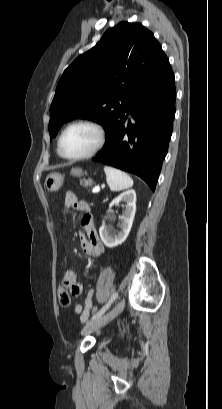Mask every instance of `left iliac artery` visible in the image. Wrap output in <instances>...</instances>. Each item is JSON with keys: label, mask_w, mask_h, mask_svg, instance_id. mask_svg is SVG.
<instances>
[{"label": "left iliac artery", "mask_w": 222, "mask_h": 409, "mask_svg": "<svg viewBox=\"0 0 222 409\" xmlns=\"http://www.w3.org/2000/svg\"><path fill=\"white\" fill-rule=\"evenodd\" d=\"M117 297H118V293H114L111 296L110 300L107 302V304L103 306L95 315L92 316L91 321L101 317L108 310V308L116 300Z\"/></svg>", "instance_id": "1"}]
</instances>
